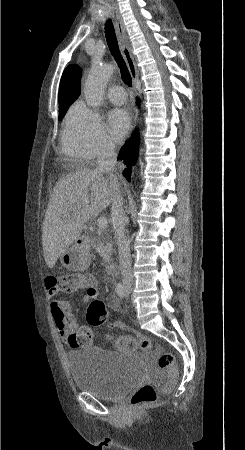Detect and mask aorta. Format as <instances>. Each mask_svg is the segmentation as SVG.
I'll use <instances>...</instances> for the list:
<instances>
[{"label":"aorta","instance_id":"aorta-1","mask_svg":"<svg viewBox=\"0 0 245 450\" xmlns=\"http://www.w3.org/2000/svg\"><path fill=\"white\" fill-rule=\"evenodd\" d=\"M114 72L111 64H94L84 86V95L89 106L97 108L103 100L106 83Z\"/></svg>","mask_w":245,"mask_h":450}]
</instances>
